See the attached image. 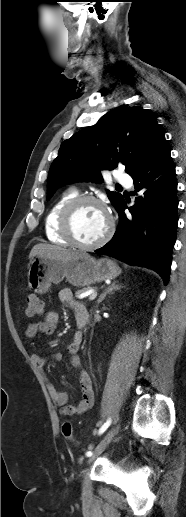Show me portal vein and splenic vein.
<instances>
[{
  "label": "portal vein and splenic vein",
  "mask_w": 186,
  "mask_h": 517,
  "mask_svg": "<svg viewBox=\"0 0 186 517\" xmlns=\"http://www.w3.org/2000/svg\"><path fill=\"white\" fill-rule=\"evenodd\" d=\"M84 295V294H82ZM97 297V292H93L89 295V300H94Z\"/></svg>",
  "instance_id": "1"
}]
</instances>
